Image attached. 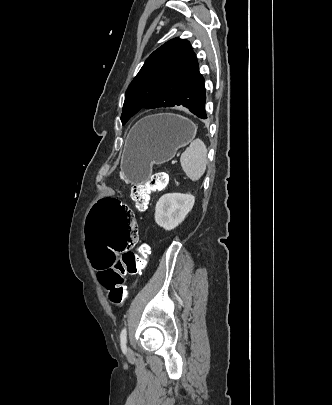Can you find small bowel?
I'll return each mask as SVG.
<instances>
[{
    "label": "small bowel",
    "instance_id": "c3829d8e",
    "mask_svg": "<svg viewBox=\"0 0 332 405\" xmlns=\"http://www.w3.org/2000/svg\"><path fill=\"white\" fill-rule=\"evenodd\" d=\"M136 220V219H135ZM136 227H138L137 221H136ZM138 240H139V236H138ZM136 244V243H135ZM118 257H115V259H117Z\"/></svg>",
    "mask_w": 332,
    "mask_h": 405
}]
</instances>
